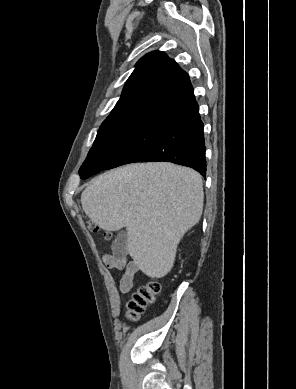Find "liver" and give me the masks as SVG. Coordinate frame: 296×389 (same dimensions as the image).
Listing matches in <instances>:
<instances>
[{
	"label": "liver",
	"mask_w": 296,
	"mask_h": 389,
	"mask_svg": "<svg viewBox=\"0 0 296 389\" xmlns=\"http://www.w3.org/2000/svg\"><path fill=\"white\" fill-rule=\"evenodd\" d=\"M203 199L196 171L154 162L100 175L82 192L81 204L99 228L125 227L134 263L148 277L161 278L172 269L184 234L199 222Z\"/></svg>",
	"instance_id": "1"
}]
</instances>
